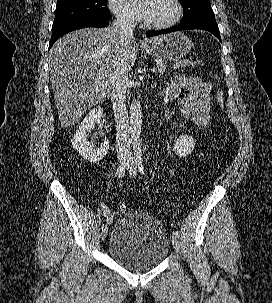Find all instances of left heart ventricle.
<instances>
[{"mask_svg": "<svg viewBox=\"0 0 272 303\" xmlns=\"http://www.w3.org/2000/svg\"><path fill=\"white\" fill-rule=\"evenodd\" d=\"M146 6L144 18L151 23H164L172 19L175 6L172 0H142Z\"/></svg>", "mask_w": 272, "mask_h": 303, "instance_id": "1", "label": "left heart ventricle"}]
</instances>
